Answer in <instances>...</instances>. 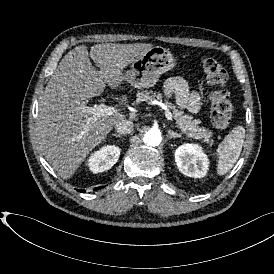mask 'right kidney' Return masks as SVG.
Listing matches in <instances>:
<instances>
[{
	"label": "right kidney",
	"mask_w": 274,
	"mask_h": 274,
	"mask_svg": "<svg viewBox=\"0 0 274 274\" xmlns=\"http://www.w3.org/2000/svg\"><path fill=\"white\" fill-rule=\"evenodd\" d=\"M120 150L115 146L102 147L90 159V168L94 173L109 170L119 159Z\"/></svg>",
	"instance_id": "obj_1"
}]
</instances>
